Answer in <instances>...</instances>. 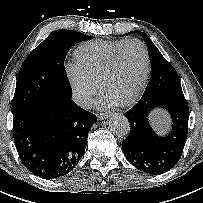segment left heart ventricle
Returning a JSON list of instances; mask_svg holds the SVG:
<instances>
[{"mask_svg": "<svg viewBox=\"0 0 203 203\" xmlns=\"http://www.w3.org/2000/svg\"><path fill=\"white\" fill-rule=\"evenodd\" d=\"M144 53L138 44L127 45L120 53L117 65L108 79L104 94L120 103L137 90L144 71Z\"/></svg>", "mask_w": 203, "mask_h": 203, "instance_id": "obj_1", "label": "left heart ventricle"}]
</instances>
